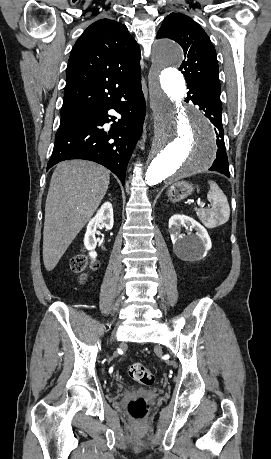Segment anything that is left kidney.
Segmentation results:
<instances>
[{"label": "left kidney", "mask_w": 271, "mask_h": 459, "mask_svg": "<svg viewBox=\"0 0 271 459\" xmlns=\"http://www.w3.org/2000/svg\"><path fill=\"white\" fill-rule=\"evenodd\" d=\"M181 228H194L196 229L195 235H182ZM169 231L174 247L175 253L186 259V257H193L202 251V257L206 255L208 249H211V239L203 226H200L196 220L189 218V216H180L175 214L169 220ZM200 259V257H199Z\"/></svg>", "instance_id": "obj_1"}]
</instances>
